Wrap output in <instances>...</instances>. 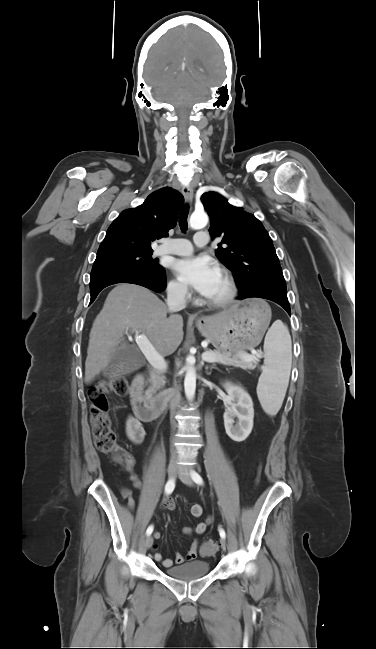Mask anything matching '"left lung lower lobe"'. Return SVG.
I'll return each instance as SVG.
<instances>
[{
    "instance_id": "left-lung-lower-lobe-1",
    "label": "left lung lower lobe",
    "mask_w": 376,
    "mask_h": 649,
    "mask_svg": "<svg viewBox=\"0 0 376 649\" xmlns=\"http://www.w3.org/2000/svg\"><path fill=\"white\" fill-rule=\"evenodd\" d=\"M252 297L271 300L279 304L280 306H282L290 315V304L287 298V294L280 293L265 285H259L255 290L248 292L246 294H241L240 296L237 297V299L242 300L245 298H252Z\"/></svg>"
}]
</instances>
